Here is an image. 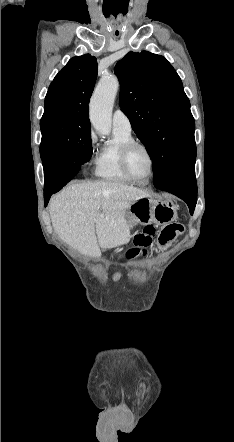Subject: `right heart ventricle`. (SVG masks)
Returning <instances> with one entry per match:
<instances>
[{"label": "right heart ventricle", "mask_w": 234, "mask_h": 442, "mask_svg": "<svg viewBox=\"0 0 234 442\" xmlns=\"http://www.w3.org/2000/svg\"><path fill=\"white\" fill-rule=\"evenodd\" d=\"M133 140L131 133L118 129L113 130V140L105 144L95 162V174L97 177L116 183H130L131 180L125 175L120 164V152L122 146Z\"/></svg>", "instance_id": "obj_1"}]
</instances>
